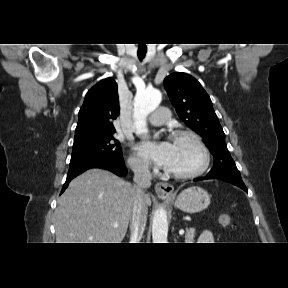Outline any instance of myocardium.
Segmentation results:
<instances>
[{
	"label": "myocardium",
	"mask_w": 288,
	"mask_h": 288,
	"mask_svg": "<svg viewBox=\"0 0 288 288\" xmlns=\"http://www.w3.org/2000/svg\"><path fill=\"white\" fill-rule=\"evenodd\" d=\"M172 138L189 140L199 150L201 163L198 167L189 171L177 172L165 170L166 174L179 179L194 178L203 174L210 164V152L201 137L191 130H176L172 133Z\"/></svg>",
	"instance_id": "myocardium-1"
}]
</instances>
